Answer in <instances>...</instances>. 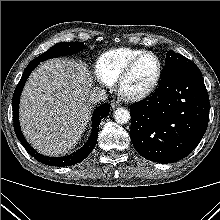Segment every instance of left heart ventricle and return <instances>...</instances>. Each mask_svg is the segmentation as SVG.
<instances>
[{
    "instance_id": "left-heart-ventricle-1",
    "label": "left heart ventricle",
    "mask_w": 220,
    "mask_h": 220,
    "mask_svg": "<svg viewBox=\"0 0 220 220\" xmlns=\"http://www.w3.org/2000/svg\"><path fill=\"white\" fill-rule=\"evenodd\" d=\"M157 60L150 55L141 58L125 83L128 92H139L148 87L157 73Z\"/></svg>"
}]
</instances>
